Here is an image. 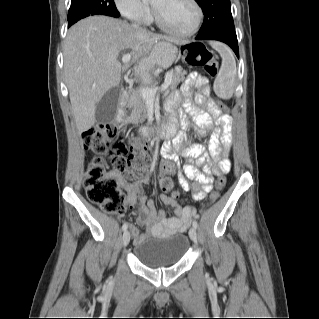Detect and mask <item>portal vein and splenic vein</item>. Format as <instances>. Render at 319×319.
I'll list each match as a JSON object with an SVG mask.
<instances>
[{"label":"portal vein and splenic vein","mask_w":319,"mask_h":319,"mask_svg":"<svg viewBox=\"0 0 319 319\" xmlns=\"http://www.w3.org/2000/svg\"><path fill=\"white\" fill-rule=\"evenodd\" d=\"M131 60V55L129 53L127 54H124L122 56V61L123 63H129ZM171 77H172V74L171 72H167L166 75H165V81L164 83L161 85L160 88H149V87H142L140 88V93L142 95L143 98L145 99H152L155 97L157 91L160 89L161 91H165L169 86H170V83H171Z\"/></svg>","instance_id":"1"}]
</instances>
